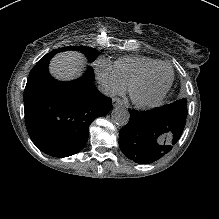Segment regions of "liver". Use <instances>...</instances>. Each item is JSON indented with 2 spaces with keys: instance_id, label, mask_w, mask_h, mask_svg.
I'll return each mask as SVG.
<instances>
[{
  "instance_id": "obj_1",
  "label": "liver",
  "mask_w": 219,
  "mask_h": 219,
  "mask_svg": "<svg viewBox=\"0 0 219 219\" xmlns=\"http://www.w3.org/2000/svg\"><path fill=\"white\" fill-rule=\"evenodd\" d=\"M86 59L76 52H63L50 62V73L61 81H70L80 77L85 71Z\"/></svg>"
}]
</instances>
